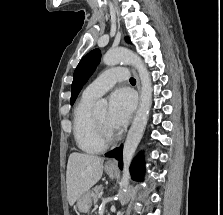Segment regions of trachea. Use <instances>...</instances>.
<instances>
[{"instance_id":"obj_1","label":"trachea","mask_w":223,"mask_h":215,"mask_svg":"<svg viewBox=\"0 0 223 215\" xmlns=\"http://www.w3.org/2000/svg\"><path fill=\"white\" fill-rule=\"evenodd\" d=\"M129 81H130V83H136V80L133 77H131Z\"/></svg>"}]
</instances>
